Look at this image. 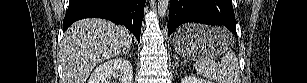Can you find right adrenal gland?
<instances>
[{
	"mask_svg": "<svg viewBox=\"0 0 307 83\" xmlns=\"http://www.w3.org/2000/svg\"><path fill=\"white\" fill-rule=\"evenodd\" d=\"M129 51H130V49H127L125 52H122L120 55L122 56V55H128V56H130V54H129Z\"/></svg>",
	"mask_w": 307,
	"mask_h": 83,
	"instance_id": "right-adrenal-gland-1",
	"label": "right adrenal gland"
}]
</instances>
